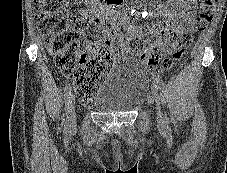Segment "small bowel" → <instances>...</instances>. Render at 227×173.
Wrapping results in <instances>:
<instances>
[{
	"label": "small bowel",
	"mask_w": 227,
	"mask_h": 173,
	"mask_svg": "<svg viewBox=\"0 0 227 173\" xmlns=\"http://www.w3.org/2000/svg\"><path fill=\"white\" fill-rule=\"evenodd\" d=\"M122 2L114 6H119ZM170 2L176 4L177 7L160 4L154 12L156 16L166 19V22L158 27L134 26L128 22L124 15H116L115 20L118 29L115 34V41L110 46L111 52L117 57L132 55L134 53L129 47L130 40L153 34L164 38L167 49L173 47L188 27L194 25L197 0H170Z\"/></svg>",
	"instance_id": "1"
}]
</instances>
